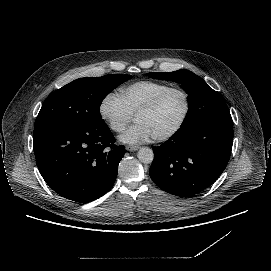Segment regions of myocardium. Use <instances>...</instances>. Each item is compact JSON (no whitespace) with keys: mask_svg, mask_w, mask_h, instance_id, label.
<instances>
[{"mask_svg":"<svg viewBox=\"0 0 271 271\" xmlns=\"http://www.w3.org/2000/svg\"><path fill=\"white\" fill-rule=\"evenodd\" d=\"M173 92H180L182 94L184 98V103H185L184 113L180 121L178 122V124L171 131H169L168 133L162 136L155 137V140L158 142H165V141L171 140L184 127L191 111V98H190L189 92L185 88L180 87V86H170L169 88H167L166 90L158 94L149 104L144 106L136 114V117H137L139 115H144V114H148L155 111L162 104V102Z\"/></svg>","mask_w":271,"mask_h":271,"instance_id":"obj_1","label":"myocardium"}]
</instances>
